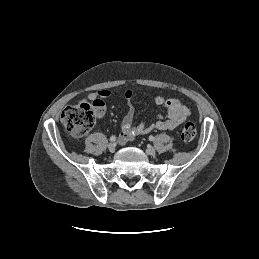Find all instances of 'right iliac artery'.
<instances>
[{
	"instance_id": "obj_1",
	"label": "right iliac artery",
	"mask_w": 259,
	"mask_h": 259,
	"mask_svg": "<svg viewBox=\"0 0 259 259\" xmlns=\"http://www.w3.org/2000/svg\"><path fill=\"white\" fill-rule=\"evenodd\" d=\"M110 141H111V142H115V141H116V137H115V136H111V137H110Z\"/></svg>"
}]
</instances>
